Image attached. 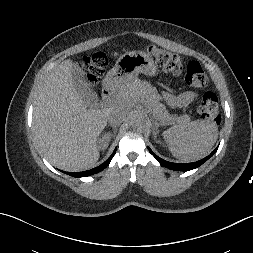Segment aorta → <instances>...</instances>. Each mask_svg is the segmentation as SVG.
Segmentation results:
<instances>
[{
    "mask_svg": "<svg viewBox=\"0 0 253 253\" xmlns=\"http://www.w3.org/2000/svg\"><path fill=\"white\" fill-rule=\"evenodd\" d=\"M133 128L137 131H143L146 128V121L145 119L137 115L133 121Z\"/></svg>",
    "mask_w": 253,
    "mask_h": 253,
    "instance_id": "aorta-1",
    "label": "aorta"
}]
</instances>
